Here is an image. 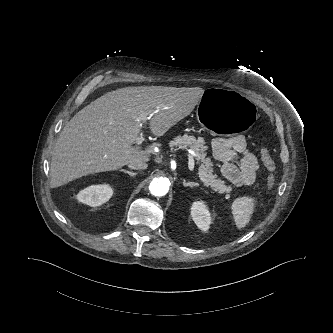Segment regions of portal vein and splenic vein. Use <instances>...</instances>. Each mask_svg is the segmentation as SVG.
I'll return each mask as SVG.
<instances>
[{
    "label": "portal vein and splenic vein",
    "instance_id": "obj_1",
    "mask_svg": "<svg viewBox=\"0 0 333 333\" xmlns=\"http://www.w3.org/2000/svg\"><path fill=\"white\" fill-rule=\"evenodd\" d=\"M156 112H153L150 116H147L146 114H141L140 116H139V120L142 122V123H146V121H147V119H149L153 114H155ZM144 141V137H143V135L142 134H140L137 138H136V140H135V143L137 144V145H140V144H142V142ZM196 154L193 152V151H189V154H188V160H189V162H188V168H189V170L190 171H193L194 170V165H195V163H194V156H195Z\"/></svg>",
    "mask_w": 333,
    "mask_h": 333
}]
</instances>
